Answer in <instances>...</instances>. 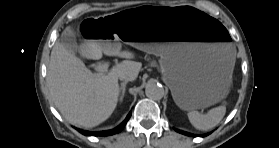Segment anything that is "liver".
<instances>
[{
  "label": "liver",
  "instance_id": "6515ba94",
  "mask_svg": "<svg viewBox=\"0 0 279 148\" xmlns=\"http://www.w3.org/2000/svg\"><path fill=\"white\" fill-rule=\"evenodd\" d=\"M80 54L98 60L107 56L125 58L107 74H93L84 62L59 41L51 51L47 69L50 97L69 123L84 128L95 127L107 120L115 110L119 97L118 79L121 76L136 80L140 62L132 61L135 55L120 48H103L95 42L80 45Z\"/></svg>",
  "mask_w": 279,
  "mask_h": 148
}]
</instances>
